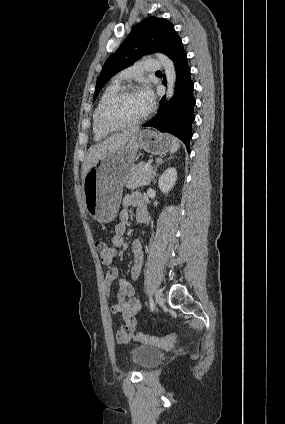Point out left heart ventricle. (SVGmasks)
Listing matches in <instances>:
<instances>
[{
  "instance_id": "b2bd125f",
  "label": "left heart ventricle",
  "mask_w": 285,
  "mask_h": 424,
  "mask_svg": "<svg viewBox=\"0 0 285 424\" xmlns=\"http://www.w3.org/2000/svg\"><path fill=\"white\" fill-rule=\"evenodd\" d=\"M146 109L138 93L123 97L112 105L105 114V120L110 123L131 122L146 113Z\"/></svg>"
}]
</instances>
